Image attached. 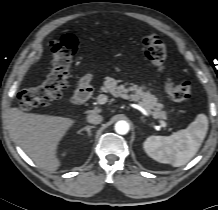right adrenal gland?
<instances>
[{
    "mask_svg": "<svg viewBox=\"0 0 218 210\" xmlns=\"http://www.w3.org/2000/svg\"><path fill=\"white\" fill-rule=\"evenodd\" d=\"M93 128H95V126H86V127L82 128L79 131V133L82 132V131H86L88 133V135L90 136L91 135V129H93Z\"/></svg>",
    "mask_w": 218,
    "mask_h": 210,
    "instance_id": "obj_1",
    "label": "right adrenal gland"
}]
</instances>
